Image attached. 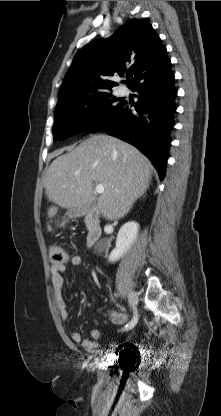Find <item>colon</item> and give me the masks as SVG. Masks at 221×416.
I'll use <instances>...</instances> for the list:
<instances>
[{"label":"colon","instance_id":"obj_1","mask_svg":"<svg viewBox=\"0 0 221 416\" xmlns=\"http://www.w3.org/2000/svg\"><path fill=\"white\" fill-rule=\"evenodd\" d=\"M67 259L66 250L59 244L53 243L49 246V260L54 265H61Z\"/></svg>","mask_w":221,"mask_h":416}]
</instances>
